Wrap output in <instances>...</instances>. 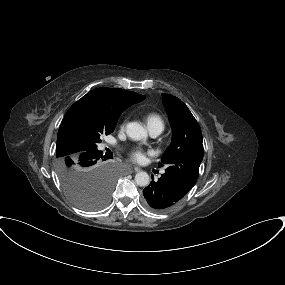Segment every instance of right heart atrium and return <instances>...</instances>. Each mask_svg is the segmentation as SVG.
<instances>
[{"label":"right heart atrium","instance_id":"obj_1","mask_svg":"<svg viewBox=\"0 0 285 285\" xmlns=\"http://www.w3.org/2000/svg\"><path fill=\"white\" fill-rule=\"evenodd\" d=\"M125 124H126V122H125V121H123V122L121 123V125H120V128H121V129H124Z\"/></svg>","mask_w":285,"mask_h":285}]
</instances>
